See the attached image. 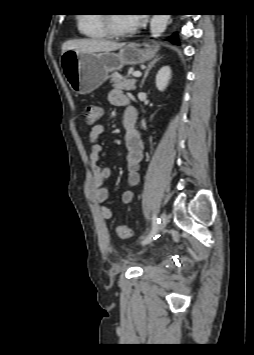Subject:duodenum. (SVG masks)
I'll list each match as a JSON object with an SVG mask.
<instances>
[{"label":"duodenum","instance_id":"obj_1","mask_svg":"<svg viewBox=\"0 0 254 355\" xmlns=\"http://www.w3.org/2000/svg\"><path fill=\"white\" fill-rule=\"evenodd\" d=\"M135 126V121L134 120H127L125 122V126L127 129H133Z\"/></svg>","mask_w":254,"mask_h":355}]
</instances>
